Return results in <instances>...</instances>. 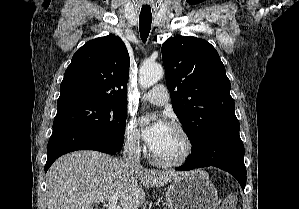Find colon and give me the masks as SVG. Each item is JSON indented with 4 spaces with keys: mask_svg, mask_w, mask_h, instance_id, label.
<instances>
[{
    "mask_svg": "<svg viewBox=\"0 0 299 209\" xmlns=\"http://www.w3.org/2000/svg\"><path fill=\"white\" fill-rule=\"evenodd\" d=\"M236 200L232 195H229L221 203L219 209H235Z\"/></svg>",
    "mask_w": 299,
    "mask_h": 209,
    "instance_id": "obj_1",
    "label": "colon"
}]
</instances>
